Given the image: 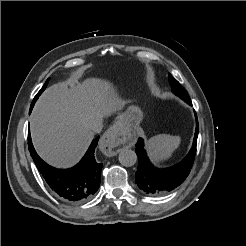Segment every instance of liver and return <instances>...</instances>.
Masks as SVG:
<instances>
[{
	"instance_id": "6515ba94",
	"label": "liver",
	"mask_w": 246,
	"mask_h": 246,
	"mask_svg": "<svg viewBox=\"0 0 246 246\" xmlns=\"http://www.w3.org/2000/svg\"><path fill=\"white\" fill-rule=\"evenodd\" d=\"M114 89L99 79L68 81L45 90L30 118L33 144L38 154L56 167L74 165L93 138L89 120L123 107Z\"/></svg>"
}]
</instances>
